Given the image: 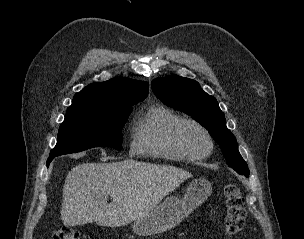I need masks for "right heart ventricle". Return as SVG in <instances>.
Here are the masks:
<instances>
[{
  "instance_id": "right-heart-ventricle-1",
  "label": "right heart ventricle",
  "mask_w": 304,
  "mask_h": 239,
  "mask_svg": "<svg viewBox=\"0 0 304 239\" xmlns=\"http://www.w3.org/2000/svg\"><path fill=\"white\" fill-rule=\"evenodd\" d=\"M181 119L180 115L164 106L150 107L135 124L139 141L137 152L157 159H186L171 141V130Z\"/></svg>"
}]
</instances>
